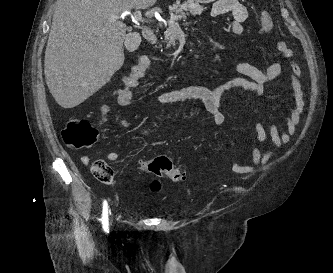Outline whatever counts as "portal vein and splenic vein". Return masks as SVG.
Segmentation results:
<instances>
[{"label":"portal vein and splenic vein","mask_w":333,"mask_h":273,"mask_svg":"<svg viewBox=\"0 0 333 273\" xmlns=\"http://www.w3.org/2000/svg\"><path fill=\"white\" fill-rule=\"evenodd\" d=\"M124 14H127V12L124 13ZM124 14H122L120 17H116L115 19L124 18ZM181 17L182 16H177L176 18L178 19V18H181ZM131 19L135 22H143L140 10L136 11V13L133 16H131Z\"/></svg>","instance_id":"18ae733b"}]
</instances>
